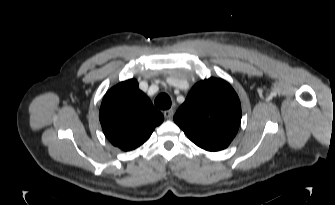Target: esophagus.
Returning a JSON list of instances; mask_svg holds the SVG:
<instances>
[{"instance_id":"1","label":"esophagus","mask_w":335,"mask_h":205,"mask_svg":"<svg viewBox=\"0 0 335 205\" xmlns=\"http://www.w3.org/2000/svg\"><path fill=\"white\" fill-rule=\"evenodd\" d=\"M163 114L166 119H171L174 115V109L171 108V109L165 110Z\"/></svg>"}]
</instances>
